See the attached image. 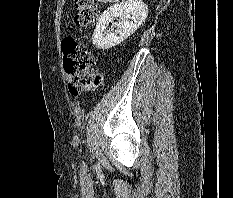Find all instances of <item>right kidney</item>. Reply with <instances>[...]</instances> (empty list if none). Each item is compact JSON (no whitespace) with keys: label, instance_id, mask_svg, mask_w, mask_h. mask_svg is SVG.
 Returning a JSON list of instances; mask_svg holds the SVG:
<instances>
[{"label":"right kidney","instance_id":"right-kidney-1","mask_svg":"<svg viewBox=\"0 0 233 198\" xmlns=\"http://www.w3.org/2000/svg\"><path fill=\"white\" fill-rule=\"evenodd\" d=\"M148 7L142 0H128L114 4L105 10L99 18L92 41L97 49H110L127 39L147 18ZM115 30H107V25L115 18Z\"/></svg>","mask_w":233,"mask_h":198}]
</instances>
